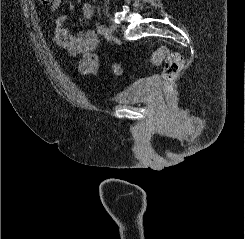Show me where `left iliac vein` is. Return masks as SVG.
Segmentation results:
<instances>
[{"label": "left iliac vein", "mask_w": 245, "mask_h": 239, "mask_svg": "<svg viewBox=\"0 0 245 239\" xmlns=\"http://www.w3.org/2000/svg\"><path fill=\"white\" fill-rule=\"evenodd\" d=\"M105 36L108 40H112L114 37V30L111 26L107 27L105 30Z\"/></svg>", "instance_id": "1"}]
</instances>
